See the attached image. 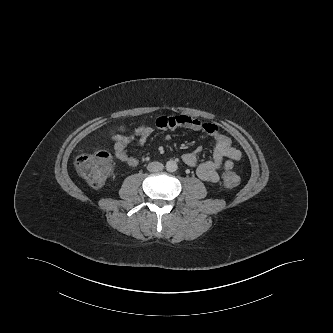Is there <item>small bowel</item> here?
I'll list each match as a JSON object with an SVG mask.
<instances>
[{"mask_svg":"<svg viewBox=\"0 0 333 333\" xmlns=\"http://www.w3.org/2000/svg\"><path fill=\"white\" fill-rule=\"evenodd\" d=\"M156 126L163 131L184 127L193 131L204 132L213 137L214 149L212 159L201 163L197 167V175L203 181L209 183L217 182L220 178V173L230 170L233 167V163L241 158L240 150L235 148L231 140L221 134L213 124L200 121L191 116L178 115L161 116L156 120ZM152 133L153 128L151 126L140 125L131 135L115 134L112 137L115 157L131 167L137 166L139 163L138 159L129 155L127 149L132 144L138 147L144 146ZM164 139H170V135L165 134ZM200 152L201 149H197L183 154V162L188 166H195Z\"/></svg>","mask_w":333,"mask_h":333,"instance_id":"1","label":"small bowel"}]
</instances>
